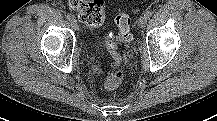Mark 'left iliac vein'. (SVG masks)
I'll use <instances>...</instances> for the list:
<instances>
[{"mask_svg": "<svg viewBox=\"0 0 217 121\" xmlns=\"http://www.w3.org/2000/svg\"><path fill=\"white\" fill-rule=\"evenodd\" d=\"M148 18L144 15L141 16L138 20V25L140 28H144L147 25Z\"/></svg>", "mask_w": 217, "mask_h": 121, "instance_id": "left-iliac-vein-1", "label": "left iliac vein"}]
</instances>
